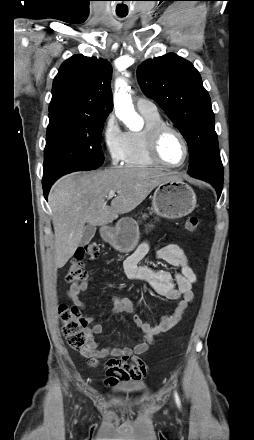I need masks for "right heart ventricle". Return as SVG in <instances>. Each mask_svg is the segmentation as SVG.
<instances>
[{
  "instance_id": "1",
  "label": "right heart ventricle",
  "mask_w": 254,
  "mask_h": 440,
  "mask_svg": "<svg viewBox=\"0 0 254 440\" xmlns=\"http://www.w3.org/2000/svg\"><path fill=\"white\" fill-rule=\"evenodd\" d=\"M145 119V127L140 131H129L127 139L124 164L127 167L147 168L158 165L150 158L147 151L148 131L161 123H164L159 113H142Z\"/></svg>"
}]
</instances>
